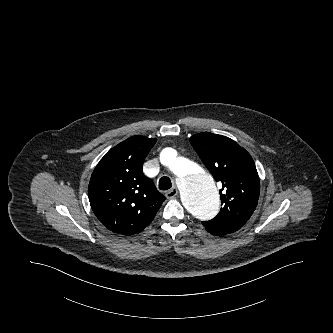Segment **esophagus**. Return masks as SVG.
<instances>
[{
    "label": "esophagus",
    "instance_id": "obj_1",
    "mask_svg": "<svg viewBox=\"0 0 333 333\" xmlns=\"http://www.w3.org/2000/svg\"><path fill=\"white\" fill-rule=\"evenodd\" d=\"M165 195L168 199H173L178 195V189L174 187L171 190L167 191Z\"/></svg>",
    "mask_w": 333,
    "mask_h": 333
}]
</instances>
